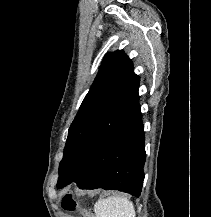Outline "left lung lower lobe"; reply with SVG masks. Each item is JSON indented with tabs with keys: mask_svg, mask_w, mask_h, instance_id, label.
<instances>
[{
	"mask_svg": "<svg viewBox=\"0 0 211 217\" xmlns=\"http://www.w3.org/2000/svg\"><path fill=\"white\" fill-rule=\"evenodd\" d=\"M145 159L144 126L139 112L103 143L70 183H77L81 189H116L139 197Z\"/></svg>",
	"mask_w": 211,
	"mask_h": 217,
	"instance_id": "0a47b994",
	"label": "left lung lower lobe"
}]
</instances>
